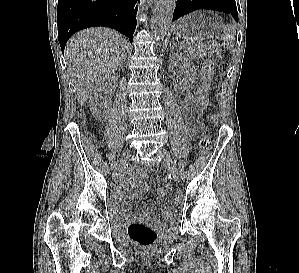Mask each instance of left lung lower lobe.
I'll return each instance as SVG.
<instances>
[{
    "instance_id": "left-lung-lower-lobe-1",
    "label": "left lung lower lobe",
    "mask_w": 299,
    "mask_h": 273,
    "mask_svg": "<svg viewBox=\"0 0 299 273\" xmlns=\"http://www.w3.org/2000/svg\"><path fill=\"white\" fill-rule=\"evenodd\" d=\"M198 9H210L231 14L238 21L235 0H177L173 21Z\"/></svg>"
}]
</instances>
